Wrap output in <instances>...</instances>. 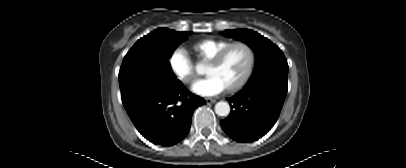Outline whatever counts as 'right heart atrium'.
<instances>
[{
	"instance_id": "d8ad5b80",
	"label": "right heart atrium",
	"mask_w": 406,
	"mask_h": 168,
	"mask_svg": "<svg viewBox=\"0 0 406 168\" xmlns=\"http://www.w3.org/2000/svg\"><path fill=\"white\" fill-rule=\"evenodd\" d=\"M169 66L175 76L184 84H190L194 79L193 63L182 47H177L169 56Z\"/></svg>"
}]
</instances>
